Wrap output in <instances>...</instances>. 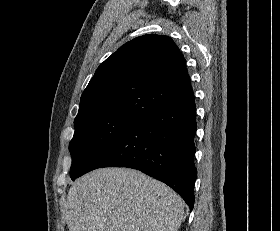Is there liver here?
<instances>
[{
  "mask_svg": "<svg viewBox=\"0 0 280 231\" xmlns=\"http://www.w3.org/2000/svg\"><path fill=\"white\" fill-rule=\"evenodd\" d=\"M69 231H177L184 201L130 167H102L72 183L64 203Z\"/></svg>",
  "mask_w": 280,
  "mask_h": 231,
  "instance_id": "liver-1",
  "label": "liver"
}]
</instances>
